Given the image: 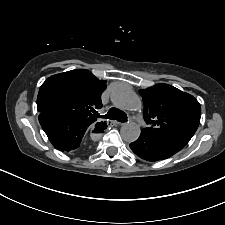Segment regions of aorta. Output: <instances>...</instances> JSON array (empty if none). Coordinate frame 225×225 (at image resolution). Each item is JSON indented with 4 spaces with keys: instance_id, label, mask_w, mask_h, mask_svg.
Here are the masks:
<instances>
[{
    "instance_id": "762f6f07",
    "label": "aorta",
    "mask_w": 225,
    "mask_h": 225,
    "mask_svg": "<svg viewBox=\"0 0 225 225\" xmlns=\"http://www.w3.org/2000/svg\"><path fill=\"white\" fill-rule=\"evenodd\" d=\"M111 100L116 107L128 111H136L142 107V102L138 95L131 89L123 86L116 87L112 91ZM120 133L122 139L130 143L139 138L141 129L135 122H127L121 127Z\"/></svg>"
}]
</instances>
